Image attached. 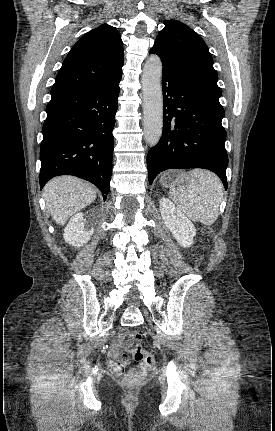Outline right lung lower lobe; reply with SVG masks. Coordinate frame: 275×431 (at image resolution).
I'll return each mask as SVG.
<instances>
[{
	"instance_id": "obj_1",
	"label": "right lung lower lobe",
	"mask_w": 275,
	"mask_h": 431,
	"mask_svg": "<svg viewBox=\"0 0 275 431\" xmlns=\"http://www.w3.org/2000/svg\"><path fill=\"white\" fill-rule=\"evenodd\" d=\"M120 80L51 98L40 147L41 189L51 178L69 174L96 185L106 199Z\"/></svg>"
}]
</instances>
